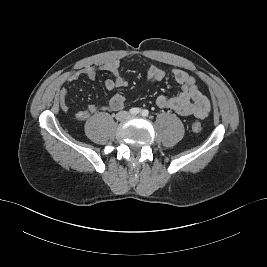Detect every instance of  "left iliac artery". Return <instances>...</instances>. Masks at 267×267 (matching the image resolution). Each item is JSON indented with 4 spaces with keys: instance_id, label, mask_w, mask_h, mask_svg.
I'll return each mask as SVG.
<instances>
[{
    "instance_id": "44dca946",
    "label": "left iliac artery",
    "mask_w": 267,
    "mask_h": 267,
    "mask_svg": "<svg viewBox=\"0 0 267 267\" xmlns=\"http://www.w3.org/2000/svg\"><path fill=\"white\" fill-rule=\"evenodd\" d=\"M148 114H149L148 110H142V111H141V115H142L143 117L148 116Z\"/></svg>"
}]
</instances>
